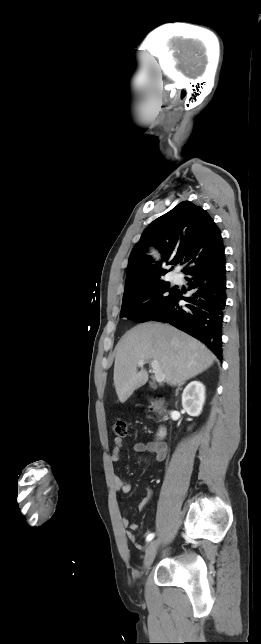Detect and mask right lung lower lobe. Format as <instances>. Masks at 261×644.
<instances>
[{"label":"right lung lower lobe","mask_w":261,"mask_h":644,"mask_svg":"<svg viewBox=\"0 0 261 644\" xmlns=\"http://www.w3.org/2000/svg\"><path fill=\"white\" fill-rule=\"evenodd\" d=\"M190 275L189 289H197L192 297L184 298L182 291L164 311L152 320L167 322L203 342L222 359V322L226 305L225 257L217 261L192 266L183 271ZM191 304L181 306L179 301Z\"/></svg>","instance_id":"1"}]
</instances>
